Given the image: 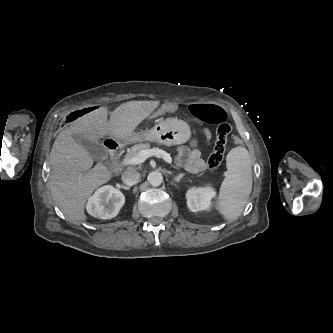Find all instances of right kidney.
Wrapping results in <instances>:
<instances>
[{"mask_svg":"<svg viewBox=\"0 0 333 333\" xmlns=\"http://www.w3.org/2000/svg\"><path fill=\"white\" fill-rule=\"evenodd\" d=\"M123 193L111 185L97 189L87 202L88 213L96 218L111 219L115 217L124 205Z\"/></svg>","mask_w":333,"mask_h":333,"instance_id":"1","label":"right kidney"}]
</instances>
